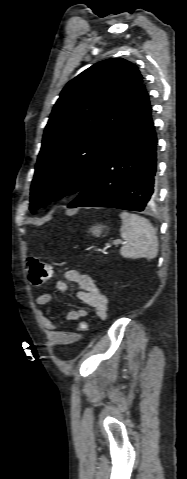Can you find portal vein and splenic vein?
I'll return each mask as SVG.
<instances>
[{"label":"portal vein and splenic vein","instance_id":"1","mask_svg":"<svg viewBox=\"0 0 187 479\" xmlns=\"http://www.w3.org/2000/svg\"><path fill=\"white\" fill-rule=\"evenodd\" d=\"M123 243H124V242H121V241H114V242L112 243V245H115V246H116V245L123 244ZM110 247H111V245H107V248H110Z\"/></svg>","mask_w":187,"mask_h":479}]
</instances>
